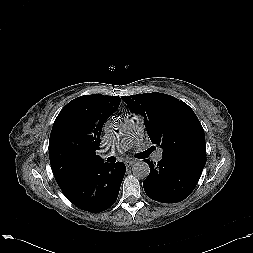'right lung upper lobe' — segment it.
Listing matches in <instances>:
<instances>
[{"instance_id":"cb5924a9","label":"right lung upper lobe","mask_w":253,"mask_h":253,"mask_svg":"<svg viewBox=\"0 0 253 253\" xmlns=\"http://www.w3.org/2000/svg\"><path fill=\"white\" fill-rule=\"evenodd\" d=\"M120 97L84 95L58 114L49 139L51 169L58 185L102 162L96 155L105 121L117 110Z\"/></svg>"}]
</instances>
